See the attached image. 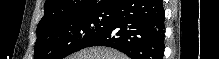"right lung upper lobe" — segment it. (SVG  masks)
Segmentation results:
<instances>
[{"instance_id": "obj_1", "label": "right lung upper lobe", "mask_w": 219, "mask_h": 59, "mask_svg": "<svg viewBox=\"0 0 219 59\" xmlns=\"http://www.w3.org/2000/svg\"><path fill=\"white\" fill-rule=\"evenodd\" d=\"M117 0H46L39 25L56 19L112 10Z\"/></svg>"}]
</instances>
